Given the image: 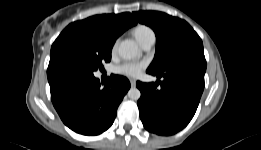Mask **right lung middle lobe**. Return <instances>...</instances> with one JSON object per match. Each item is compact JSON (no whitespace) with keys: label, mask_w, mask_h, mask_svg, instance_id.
I'll list each match as a JSON object with an SVG mask.
<instances>
[{"label":"right lung middle lobe","mask_w":261,"mask_h":150,"mask_svg":"<svg viewBox=\"0 0 261 150\" xmlns=\"http://www.w3.org/2000/svg\"><path fill=\"white\" fill-rule=\"evenodd\" d=\"M114 40L89 28L62 31L51 47L48 80L67 76H91L111 60Z\"/></svg>","instance_id":"1"}]
</instances>
